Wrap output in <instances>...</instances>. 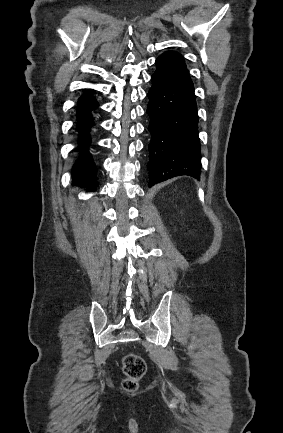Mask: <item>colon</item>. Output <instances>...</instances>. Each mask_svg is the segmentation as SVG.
I'll return each instance as SVG.
<instances>
[{
    "instance_id": "colon-1",
    "label": "colon",
    "mask_w": 283,
    "mask_h": 433,
    "mask_svg": "<svg viewBox=\"0 0 283 433\" xmlns=\"http://www.w3.org/2000/svg\"><path fill=\"white\" fill-rule=\"evenodd\" d=\"M123 371L126 376L123 381V388L133 392L137 389L139 380L146 372L145 361L141 356L129 353L123 359Z\"/></svg>"
}]
</instances>
